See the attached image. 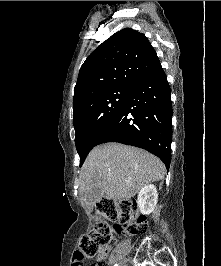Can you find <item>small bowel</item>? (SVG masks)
<instances>
[{"mask_svg":"<svg viewBox=\"0 0 221 266\" xmlns=\"http://www.w3.org/2000/svg\"><path fill=\"white\" fill-rule=\"evenodd\" d=\"M107 255H108V252L103 251L101 255L99 256V259L104 260L106 259ZM71 256L73 257L72 266H82V258L80 257H84V252H79V251L72 252Z\"/></svg>","mask_w":221,"mask_h":266,"instance_id":"obj_1","label":"small bowel"}]
</instances>
